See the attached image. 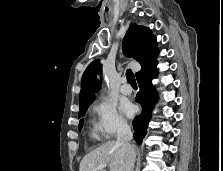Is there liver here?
Returning <instances> with one entry per match:
<instances>
[{
    "instance_id": "6515ba94",
    "label": "liver",
    "mask_w": 223,
    "mask_h": 171,
    "mask_svg": "<svg viewBox=\"0 0 223 171\" xmlns=\"http://www.w3.org/2000/svg\"><path fill=\"white\" fill-rule=\"evenodd\" d=\"M125 161V150L112 140L87 154L80 162L79 171H95L100 164L104 163L108 164L109 171H124Z\"/></svg>"
}]
</instances>
